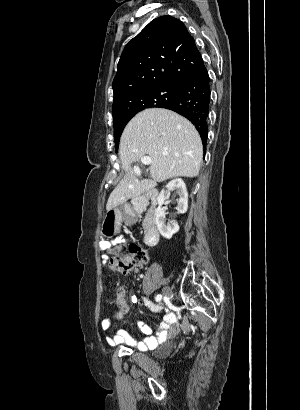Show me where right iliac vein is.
Segmentation results:
<instances>
[{
	"mask_svg": "<svg viewBox=\"0 0 300 410\" xmlns=\"http://www.w3.org/2000/svg\"><path fill=\"white\" fill-rule=\"evenodd\" d=\"M163 294H164V296H166V297H170L171 294H172V291H171L170 288L165 287V288L163 289Z\"/></svg>",
	"mask_w": 300,
	"mask_h": 410,
	"instance_id": "obj_1",
	"label": "right iliac vein"
}]
</instances>
